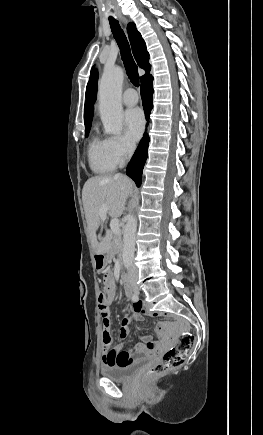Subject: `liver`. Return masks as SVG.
<instances>
[{"label":"liver","instance_id":"1","mask_svg":"<svg viewBox=\"0 0 263 435\" xmlns=\"http://www.w3.org/2000/svg\"><path fill=\"white\" fill-rule=\"evenodd\" d=\"M132 188V181L123 175L95 176L89 178L84 184L82 200L89 237L95 254L108 252L112 239V233L106 229L105 237L100 241L97 240L96 231L104 223L100 211L102 205L108 206L111 217H120Z\"/></svg>","mask_w":263,"mask_h":435}]
</instances>
